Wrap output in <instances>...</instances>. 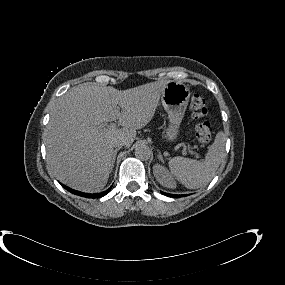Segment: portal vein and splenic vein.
I'll use <instances>...</instances> for the list:
<instances>
[{
    "instance_id": "portal-vein-and-splenic-vein-1",
    "label": "portal vein and splenic vein",
    "mask_w": 285,
    "mask_h": 285,
    "mask_svg": "<svg viewBox=\"0 0 285 285\" xmlns=\"http://www.w3.org/2000/svg\"><path fill=\"white\" fill-rule=\"evenodd\" d=\"M108 126L111 127V128H114V127H116V124L115 123H110ZM182 154L186 155L187 151L186 150H182Z\"/></svg>"
}]
</instances>
